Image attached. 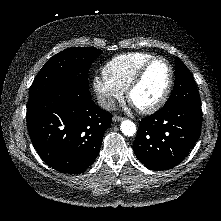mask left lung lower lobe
<instances>
[{"instance_id":"obj_1","label":"left lung lower lobe","mask_w":221,"mask_h":221,"mask_svg":"<svg viewBox=\"0 0 221 221\" xmlns=\"http://www.w3.org/2000/svg\"><path fill=\"white\" fill-rule=\"evenodd\" d=\"M201 106L172 104L139 121L133 150L147 168L166 170L178 165L197 142Z\"/></svg>"}]
</instances>
